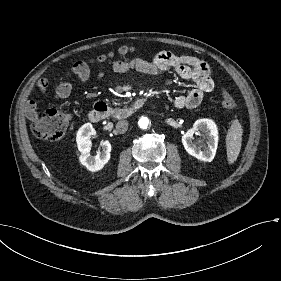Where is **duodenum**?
<instances>
[{
  "mask_svg": "<svg viewBox=\"0 0 281 281\" xmlns=\"http://www.w3.org/2000/svg\"><path fill=\"white\" fill-rule=\"evenodd\" d=\"M140 106V100L136 101L131 107L113 110L106 103L96 102L89 112V120L92 123H100L106 119L124 120Z\"/></svg>",
  "mask_w": 281,
  "mask_h": 281,
  "instance_id": "410a0bca",
  "label": "duodenum"
}]
</instances>
